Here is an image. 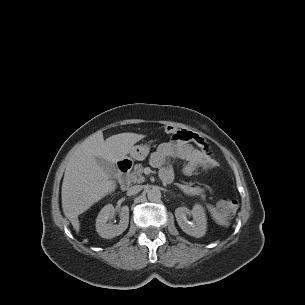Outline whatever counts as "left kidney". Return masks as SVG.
I'll list each match as a JSON object with an SVG mask.
<instances>
[{"label":"left kidney","instance_id":"5707ae66","mask_svg":"<svg viewBox=\"0 0 305 305\" xmlns=\"http://www.w3.org/2000/svg\"><path fill=\"white\" fill-rule=\"evenodd\" d=\"M188 215L193 217L192 222L187 220ZM175 217L178 225L186 234L195 238L205 235L207 218L205 208L201 204H195L192 210L186 207H179L175 210Z\"/></svg>","mask_w":305,"mask_h":305}]
</instances>
